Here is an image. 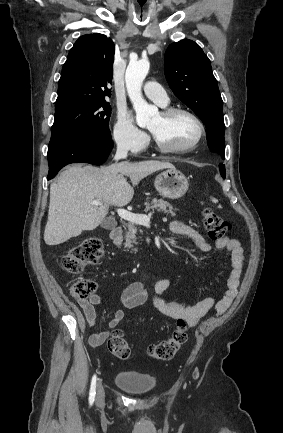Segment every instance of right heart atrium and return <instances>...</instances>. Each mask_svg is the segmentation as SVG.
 Masks as SVG:
<instances>
[{
  "label": "right heart atrium",
  "mask_w": 283,
  "mask_h": 433,
  "mask_svg": "<svg viewBox=\"0 0 283 433\" xmlns=\"http://www.w3.org/2000/svg\"><path fill=\"white\" fill-rule=\"evenodd\" d=\"M112 140L119 150L131 154L139 153L148 143L147 135L134 125L132 116L124 110H117L113 115Z\"/></svg>",
  "instance_id": "obj_1"
}]
</instances>
